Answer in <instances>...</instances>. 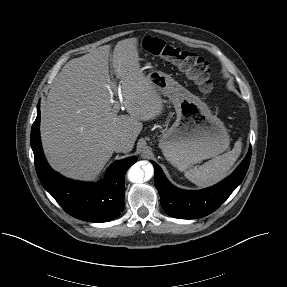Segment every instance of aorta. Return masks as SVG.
<instances>
[{"label":"aorta","instance_id":"obj_1","mask_svg":"<svg viewBox=\"0 0 287 287\" xmlns=\"http://www.w3.org/2000/svg\"><path fill=\"white\" fill-rule=\"evenodd\" d=\"M153 172L154 169L150 163L143 166L140 163H136L128 170L127 178L132 183H140L144 180L145 176L151 177Z\"/></svg>","mask_w":287,"mask_h":287}]
</instances>
